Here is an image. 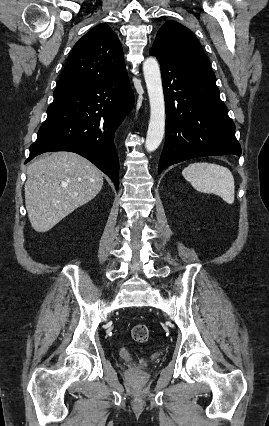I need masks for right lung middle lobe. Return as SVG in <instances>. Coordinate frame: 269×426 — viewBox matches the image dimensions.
Masks as SVG:
<instances>
[{"instance_id":"right-lung-middle-lobe-1","label":"right lung middle lobe","mask_w":269,"mask_h":426,"mask_svg":"<svg viewBox=\"0 0 269 426\" xmlns=\"http://www.w3.org/2000/svg\"><path fill=\"white\" fill-rule=\"evenodd\" d=\"M58 94H59V93H55V92H54V94H53V95H54V96H56V95H58Z\"/></svg>"}]
</instances>
